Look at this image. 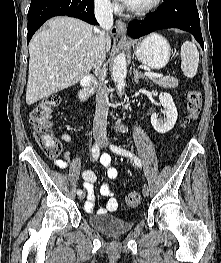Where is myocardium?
Instances as JSON below:
<instances>
[{
    "label": "myocardium",
    "mask_w": 221,
    "mask_h": 263,
    "mask_svg": "<svg viewBox=\"0 0 221 263\" xmlns=\"http://www.w3.org/2000/svg\"><path fill=\"white\" fill-rule=\"evenodd\" d=\"M161 1L162 0H152L150 3L144 6H137V7L126 5V8L131 13L143 15V14L150 13L154 11L155 9H157L159 5L161 4Z\"/></svg>",
    "instance_id": "myocardium-1"
}]
</instances>
